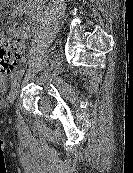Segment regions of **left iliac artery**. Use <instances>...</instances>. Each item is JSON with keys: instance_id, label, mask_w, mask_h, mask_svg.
<instances>
[{"instance_id": "1", "label": "left iliac artery", "mask_w": 133, "mask_h": 173, "mask_svg": "<svg viewBox=\"0 0 133 173\" xmlns=\"http://www.w3.org/2000/svg\"><path fill=\"white\" fill-rule=\"evenodd\" d=\"M25 72V69H20L19 71H17L13 76H12V80H13V85L15 84V82L17 80H19L23 74Z\"/></svg>"}]
</instances>
